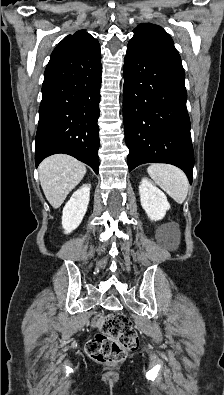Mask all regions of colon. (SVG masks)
Wrapping results in <instances>:
<instances>
[{
    "label": "colon",
    "instance_id": "obj_1",
    "mask_svg": "<svg viewBox=\"0 0 224 395\" xmlns=\"http://www.w3.org/2000/svg\"><path fill=\"white\" fill-rule=\"evenodd\" d=\"M98 332L86 345L88 356L98 363L123 360L138 346V337L131 321L123 314L111 313L97 318Z\"/></svg>",
    "mask_w": 224,
    "mask_h": 395
}]
</instances>
